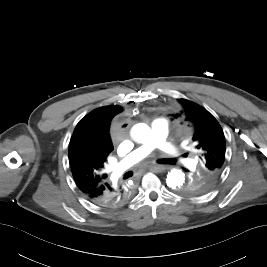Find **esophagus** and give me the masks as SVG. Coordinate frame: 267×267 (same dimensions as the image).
Wrapping results in <instances>:
<instances>
[{"mask_svg": "<svg viewBox=\"0 0 267 267\" xmlns=\"http://www.w3.org/2000/svg\"><path fill=\"white\" fill-rule=\"evenodd\" d=\"M150 169L155 172H163L166 169V167L164 165H152Z\"/></svg>", "mask_w": 267, "mask_h": 267, "instance_id": "1", "label": "esophagus"}]
</instances>
